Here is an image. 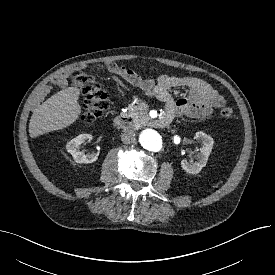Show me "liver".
<instances>
[{
	"label": "liver",
	"mask_w": 275,
	"mask_h": 275,
	"mask_svg": "<svg viewBox=\"0 0 275 275\" xmlns=\"http://www.w3.org/2000/svg\"><path fill=\"white\" fill-rule=\"evenodd\" d=\"M79 95V88L68 87L34 109L29 123L30 136L34 138L75 123L82 112L78 102Z\"/></svg>",
	"instance_id": "obj_1"
}]
</instances>
